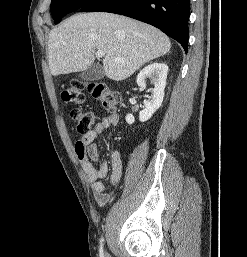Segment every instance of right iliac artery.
Masks as SVG:
<instances>
[{
  "label": "right iliac artery",
  "mask_w": 247,
  "mask_h": 257,
  "mask_svg": "<svg viewBox=\"0 0 247 257\" xmlns=\"http://www.w3.org/2000/svg\"><path fill=\"white\" fill-rule=\"evenodd\" d=\"M103 242H104V239L101 238L100 239V257H104L103 256Z\"/></svg>",
  "instance_id": "82829eb1"
}]
</instances>
